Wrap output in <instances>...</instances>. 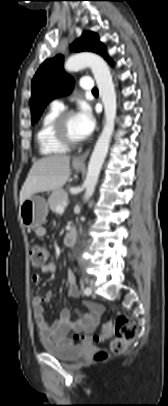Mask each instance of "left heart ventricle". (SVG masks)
Segmentation results:
<instances>
[{
	"label": "left heart ventricle",
	"mask_w": 168,
	"mask_h": 406,
	"mask_svg": "<svg viewBox=\"0 0 168 406\" xmlns=\"http://www.w3.org/2000/svg\"><path fill=\"white\" fill-rule=\"evenodd\" d=\"M66 130L68 135L76 140L82 139L81 133L76 123L75 114L70 116L66 121Z\"/></svg>",
	"instance_id": "b2bd125f"
}]
</instances>
